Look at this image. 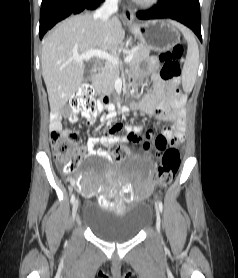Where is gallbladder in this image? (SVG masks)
Instances as JSON below:
<instances>
[{"label":"gallbladder","mask_w":238,"mask_h":278,"mask_svg":"<svg viewBox=\"0 0 238 278\" xmlns=\"http://www.w3.org/2000/svg\"><path fill=\"white\" fill-rule=\"evenodd\" d=\"M91 69H92V64L91 63H87L85 65V69H84V76H83V80L84 81H87L89 76H90V73H91Z\"/></svg>","instance_id":"obj_1"}]
</instances>
